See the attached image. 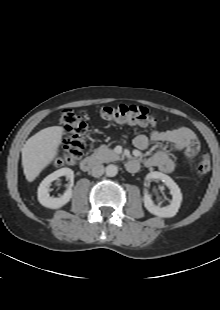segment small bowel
Masks as SVG:
<instances>
[{"label":"small bowel","mask_w":220,"mask_h":310,"mask_svg":"<svg viewBox=\"0 0 220 310\" xmlns=\"http://www.w3.org/2000/svg\"><path fill=\"white\" fill-rule=\"evenodd\" d=\"M151 142L166 143L171 149L183 152L187 160L194 158L200 150L195 133L187 127L154 130L149 135L138 134L133 140L134 146L139 150L147 149ZM144 164L147 167H157L164 173H171L175 169V163L165 148L145 159Z\"/></svg>","instance_id":"small-bowel-1"}]
</instances>
